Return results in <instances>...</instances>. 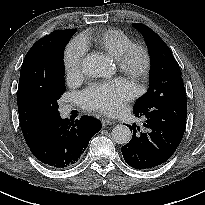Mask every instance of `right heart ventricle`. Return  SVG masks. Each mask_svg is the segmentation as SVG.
Here are the masks:
<instances>
[{
	"mask_svg": "<svg viewBox=\"0 0 205 205\" xmlns=\"http://www.w3.org/2000/svg\"><path fill=\"white\" fill-rule=\"evenodd\" d=\"M92 43L98 49L118 60L125 50L133 44V40L124 31L110 28L97 31L93 35Z\"/></svg>",
	"mask_w": 205,
	"mask_h": 205,
	"instance_id": "obj_1",
	"label": "right heart ventricle"
}]
</instances>
